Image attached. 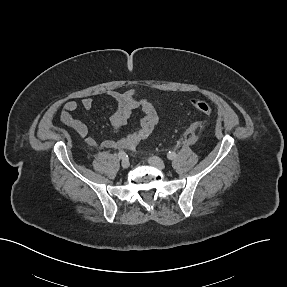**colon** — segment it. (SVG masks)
I'll return each mask as SVG.
<instances>
[{
  "label": "colon",
  "mask_w": 287,
  "mask_h": 287,
  "mask_svg": "<svg viewBox=\"0 0 287 287\" xmlns=\"http://www.w3.org/2000/svg\"><path fill=\"white\" fill-rule=\"evenodd\" d=\"M192 107L199 113L204 115H209L212 113V106L211 104L202 98H194L190 101Z\"/></svg>",
  "instance_id": "colon-1"
}]
</instances>
